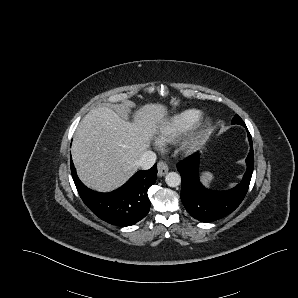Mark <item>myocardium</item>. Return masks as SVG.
I'll return each instance as SVG.
<instances>
[{"mask_svg":"<svg viewBox=\"0 0 298 298\" xmlns=\"http://www.w3.org/2000/svg\"><path fill=\"white\" fill-rule=\"evenodd\" d=\"M214 122L210 116H201L187 132L179 138L177 146L182 153L191 154L211 136Z\"/></svg>","mask_w":298,"mask_h":298,"instance_id":"f54148a6","label":"myocardium"}]
</instances>
